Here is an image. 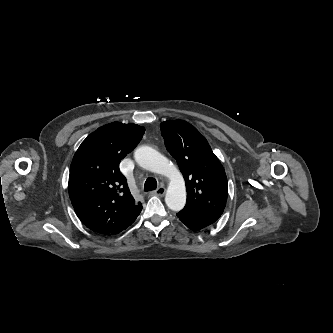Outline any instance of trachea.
Segmentation results:
<instances>
[{"label":"trachea","mask_w":333,"mask_h":333,"mask_svg":"<svg viewBox=\"0 0 333 333\" xmlns=\"http://www.w3.org/2000/svg\"><path fill=\"white\" fill-rule=\"evenodd\" d=\"M157 188V181L154 178H148L144 184L145 191H152Z\"/></svg>","instance_id":"trachea-1"}]
</instances>
